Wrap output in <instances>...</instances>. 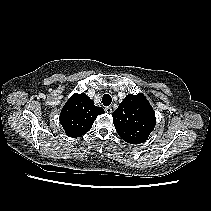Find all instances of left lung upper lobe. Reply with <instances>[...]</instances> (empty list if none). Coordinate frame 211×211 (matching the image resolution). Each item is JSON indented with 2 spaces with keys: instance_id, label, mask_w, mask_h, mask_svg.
I'll list each match as a JSON object with an SVG mask.
<instances>
[{
  "instance_id": "5c2ea615",
  "label": "left lung upper lobe",
  "mask_w": 211,
  "mask_h": 211,
  "mask_svg": "<svg viewBox=\"0 0 211 211\" xmlns=\"http://www.w3.org/2000/svg\"><path fill=\"white\" fill-rule=\"evenodd\" d=\"M112 116L117 133L130 144L145 142L156 124L155 112L142 93L126 96Z\"/></svg>"
}]
</instances>
